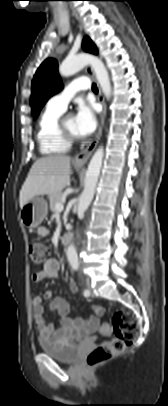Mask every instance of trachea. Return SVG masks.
I'll return each instance as SVG.
<instances>
[{
	"label": "trachea",
	"mask_w": 168,
	"mask_h": 406,
	"mask_svg": "<svg viewBox=\"0 0 168 406\" xmlns=\"http://www.w3.org/2000/svg\"><path fill=\"white\" fill-rule=\"evenodd\" d=\"M92 90H93L94 92H97V91H98L97 86H96L95 83L92 84Z\"/></svg>",
	"instance_id": "3493384b"
}]
</instances>
